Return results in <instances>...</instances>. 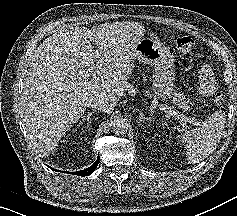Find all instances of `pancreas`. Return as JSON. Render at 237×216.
Here are the masks:
<instances>
[{
	"instance_id": "1",
	"label": "pancreas",
	"mask_w": 237,
	"mask_h": 216,
	"mask_svg": "<svg viewBox=\"0 0 237 216\" xmlns=\"http://www.w3.org/2000/svg\"><path fill=\"white\" fill-rule=\"evenodd\" d=\"M163 99L165 101H174L178 103V107L182 111H189L191 109V102L189 100H184L183 96L181 94H177L172 91V90H165L163 92Z\"/></svg>"
}]
</instances>
